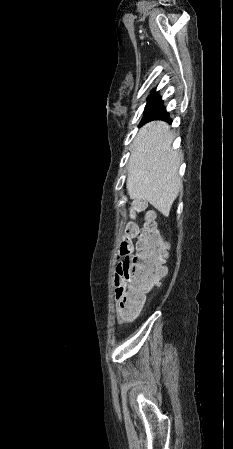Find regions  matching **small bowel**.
Returning <instances> with one entry per match:
<instances>
[{
  "label": "small bowel",
  "mask_w": 233,
  "mask_h": 449,
  "mask_svg": "<svg viewBox=\"0 0 233 449\" xmlns=\"http://www.w3.org/2000/svg\"><path fill=\"white\" fill-rule=\"evenodd\" d=\"M114 289L115 296L118 300H124L129 292L128 273L126 270L117 265L116 273L114 276Z\"/></svg>",
  "instance_id": "1"
}]
</instances>
